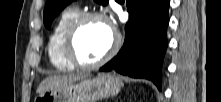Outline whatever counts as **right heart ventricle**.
Wrapping results in <instances>:
<instances>
[{
  "instance_id": "e07e8e85",
  "label": "right heart ventricle",
  "mask_w": 221,
  "mask_h": 102,
  "mask_svg": "<svg viewBox=\"0 0 221 102\" xmlns=\"http://www.w3.org/2000/svg\"><path fill=\"white\" fill-rule=\"evenodd\" d=\"M80 14L77 7H67L59 15L48 38V55L52 65L60 71H70L74 68L63 53V43L66 31L71 22Z\"/></svg>"
}]
</instances>
